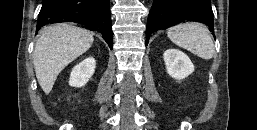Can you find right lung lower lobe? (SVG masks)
Wrapping results in <instances>:
<instances>
[{
  "label": "right lung lower lobe",
  "mask_w": 257,
  "mask_h": 130,
  "mask_svg": "<svg viewBox=\"0 0 257 130\" xmlns=\"http://www.w3.org/2000/svg\"><path fill=\"white\" fill-rule=\"evenodd\" d=\"M73 22L97 31L113 46L110 0H44L38 15L37 29L47 24Z\"/></svg>",
  "instance_id": "obj_1"
}]
</instances>
